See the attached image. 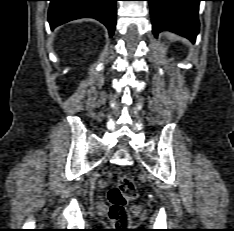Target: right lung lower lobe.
Returning <instances> with one entry per match:
<instances>
[{
	"mask_svg": "<svg viewBox=\"0 0 234 231\" xmlns=\"http://www.w3.org/2000/svg\"><path fill=\"white\" fill-rule=\"evenodd\" d=\"M48 20L55 27L78 18H95L103 23L112 36L116 26L117 0H50Z\"/></svg>",
	"mask_w": 234,
	"mask_h": 231,
	"instance_id": "obj_1",
	"label": "right lung lower lobe"
}]
</instances>
